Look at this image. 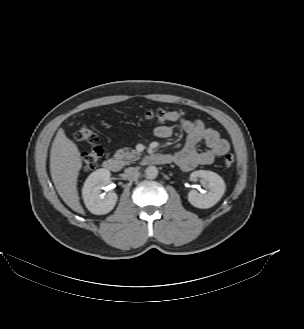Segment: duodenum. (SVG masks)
<instances>
[{"instance_id": "410a0bca", "label": "duodenum", "mask_w": 304, "mask_h": 329, "mask_svg": "<svg viewBox=\"0 0 304 329\" xmlns=\"http://www.w3.org/2000/svg\"><path fill=\"white\" fill-rule=\"evenodd\" d=\"M146 162L149 164H170L172 163V159L168 155L156 153L149 156ZM103 167L111 172H118L121 169L119 161L113 157L106 158L103 161Z\"/></svg>"}]
</instances>
